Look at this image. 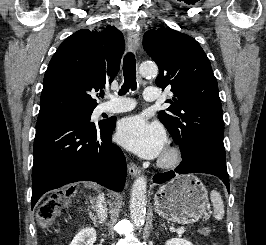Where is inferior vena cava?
<instances>
[{
	"mask_svg": "<svg viewBox=\"0 0 266 245\" xmlns=\"http://www.w3.org/2000/svg\"><path fill=\"white\" fill-rule=\"evenodd\" d=\"M96 201H97L96 209H97L98 217H99V219H101V221H105V219L107 217V207L104 203L103 195H99V197H97Z\"/></svg>",
	"mask_w": 266,
	"mask_h": 245,
	"instance_id": "obj_1",
	"label": "inferior vena cava"
}]
</instances>
